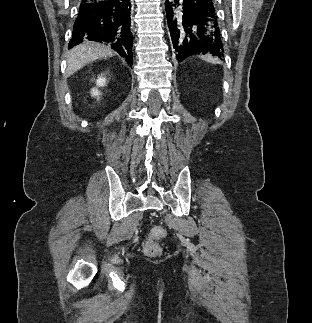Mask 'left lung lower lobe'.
Listing matches in <instances>:
<instances>
[{"label": "left lung lower lobe", "mask_w": 312, "mask_h": 323, "mask_svg": "<svg viewBox=\"0 0 312 323\" xmlns=\"http://www.w3.org/2000/svg\"><path fill=\"white\" fill-rule=\"evenodd\" d=\"M165 9L171 48L178 60L200 53L223 56L215 0L166 1Z\"/></svg>", "instance_id": "left-lung-lower-lobe-1"}]
</instances>
